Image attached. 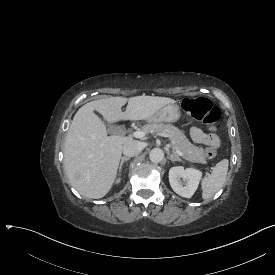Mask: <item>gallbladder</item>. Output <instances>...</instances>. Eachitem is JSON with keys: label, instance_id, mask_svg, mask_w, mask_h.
<instances>
[{"label": "gallbladder", "instance_id": "1", "mask_svg": "<svg viewBox=\"0 0 275 275\" xmlns=\"http://www.w3.org/2000/svg\"><path fill=\"white\" fill-rule=\"evenodd\" d=\"M107 127H108V133L109 134H116L117 132L120 131V127H118L117 125H112L110 123H106Z\"/></svg>", "mask_w": 275, "mask_h": 275}]
</instances>
